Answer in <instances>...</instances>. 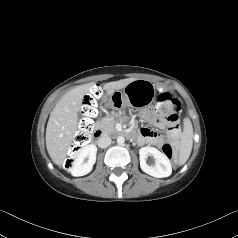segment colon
Segmentation results:
<instances>
[{
    "instance_id": "obj_1",
    "label": "colon",
    "mask_w": 238,
    "mask_h": 238,
    "mask_svg": "<svg viewBox=\"0 0 238 238\" xmlns=\"http://www.w3.org/2000/svg\"><path fill=\"white\" fill-rule=\"evenodd\" d=\"M100 94V88L95 87L83 101L81 110L83 118L80 121L79 130L76 133L74 142L70 148L71 156H75L90 140L93 130L92 118L97 113V98L100 96ZM180 110V100L172 96L170 93L163 92L157 96L154 112L158 116L165 118L171 123H175L178 120ZM162 151L169 159L173 158L174 149L172 145L164 144L162 146ZM66 164L67 166L70 165V160H68Z\"/></svg>"
}]
</instances>
